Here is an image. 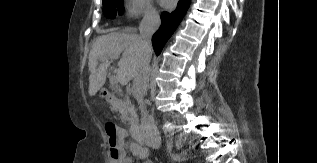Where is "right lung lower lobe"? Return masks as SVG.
<instances>
[{"label": "right lung lower lobe", "mask_w": 317, "mask_h": 163, "mask_svg": "<svg viewBox=\"0 0 317 163\" xmlns=\"http://www.w3.org/2000/svg\"><path fill=\"white\" fill-rule=\"evenodd\" d=\"M190 2L191 0H179L177 8L173 12H163L161 14V26L152 37L153 47L157 55L160 54L166 41L178 27L190 6Z\"/></svg>", "instance_id": "obj_1"}]
</instances>
